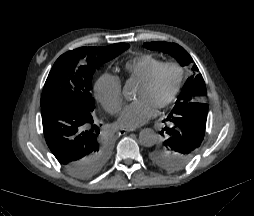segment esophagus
Returning <instances> with one entry per match:
<instances>
[{
  "mask_svg": "<svg viewBox=\"0 0 254 216\" xmlns=\"http://www.w3.org/2000/svg\"><path fill=\"white\" fill-rule=\"evenodd\" d=\"M135 131V129H121L118 131L119 135H125L128 132Z\"/></svg>",
  "mask_w": 254,
  "mask_h": 216,
  "instance_id": "1",
  "label": "esophagus"
}]
</instances>
